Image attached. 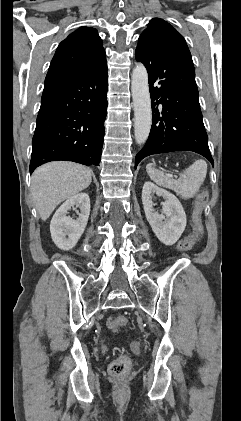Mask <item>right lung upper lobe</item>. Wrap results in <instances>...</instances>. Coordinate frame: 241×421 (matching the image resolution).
<instances>
[{
  "label": "right lung upper lobe",
  "mask_w": 241,
  "mask_h": 421,
  "mask_svg": "<svg viewBox=\"0 0 241 421\" xmlns=\"http://www.w3.org/2000/svg\"><path fill=\"white\" fill-rule=\"evenodd\" d=\"M105 59L97 30L80 27L63 40L51 61L45 83L88 71Z\"/></svg>",
  "instance_id": "obj_1"
}]
</instances>
